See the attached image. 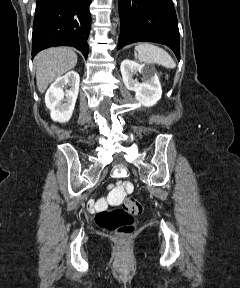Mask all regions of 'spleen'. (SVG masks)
Returning a JSON list of instances; mask_svg holds the SVG:
<instances>
[{
  "mask_svg": "<svg viewBox=\"0 0 240 288\" xmlns=\"http://www.w3.org/2000/svg\"><path fill=\"white\" fill-rule=\"evenodd\" d=\"M135 58L147 64L156 63L166 68L176 67L174 60L164 49L150 43L135 46Z\"/></svg>",
  "mask_w": 240,
  "mask_h": 288,
  "instance_id": "3e777b00",
  "label": "spleen"
}]
</instances>
